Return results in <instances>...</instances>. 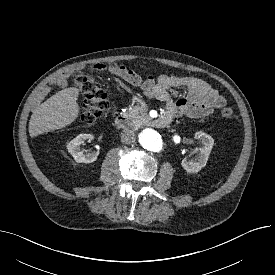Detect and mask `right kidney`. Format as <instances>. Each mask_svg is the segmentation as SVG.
I'll return each instance as SVG.
<instances>
[{
  "label": "right kidney",
  "instance_id": "right-kidney-1",
  "mask_svg": "<svg viewBox=\"0 0 275 275\" xmlns=\"http://www.w3.org/2000/svg\"><path fill=\"white\" fill-rule=\"evenodd\" d=\"M92 139L93 135L91 134H80L67 144V150L76 162L92 163L97 159L99 152L85 153L84 150L80 149L81 144L85 141H91Z\"/></svg>",
  "mask_w": 275,
  "mask_h": 275
}]
</instances>
